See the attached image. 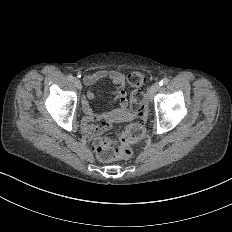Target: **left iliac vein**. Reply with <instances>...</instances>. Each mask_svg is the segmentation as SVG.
Wrapping results in <instances>:
<instances>
[{"mask_svg": "<svg viewBox=\"0 0 232 232\" xmlns=\"http://www.w3.org/2000/svg\"><path fill=\"white\" fill-rule=\"evenodd\" d=\"M159 89V84L156 83L154 86H150V89H149V98H152V94L153 93H157V90Z\"/></svg>", "mask_w": 232, "mask_h": 232, "instance_id": "obj_1", "label": "left iliac vein"}]
</instances>
